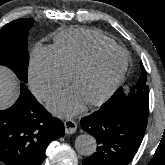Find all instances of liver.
<instances>
[{
	"label": "liver",
	"mask_w": 165,
	"mask_h": 165,
	"mask_svg": "<svg viewBox=\"0 0 165 165\" xmlns=\"http://www.w3.org/2000/svg\"><path fill=\"white\" fill-rule=\"evenodd\" d=\"M19 94L18 81L11 70L0 66V110L8 108Z\"/></svg>",
	"instance_id": "1"
}]
</instances>
